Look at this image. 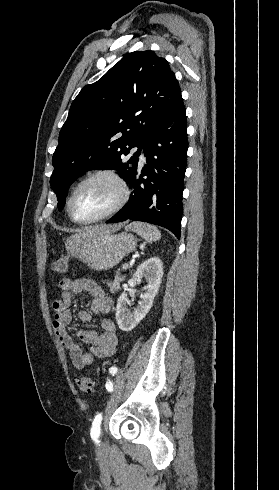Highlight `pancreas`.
Instances as JSON below:
<instances>
[{
  "label": "pancreas",
  "mask_w": 279,
  "mask_h": 490,
  "mask_svg": "<svg viewBox=\"0 0 279 490\" xmlns=\"http://www.w3.org/2000/svg\"><path fill=\"white\" fill-rule=\"evenodd\" d=\"M121 270H118L116 276H115V280L114 282H111V284H108L111 292H117V290H119V286H120V282H122L123 278H121V276H119Z\"/></svg>",
  "instance_id": "obj_1"
}]
</instances>
